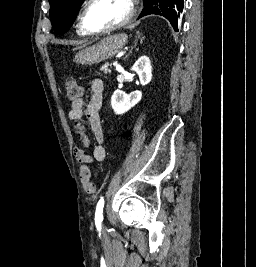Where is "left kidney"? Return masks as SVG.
I'll return each mask as SVG.
<instances>
[{
	"label": "left kidney",
	"mask_w": 256,
	"mask_h": 267,
	"mask_svg": "<svg viewBox=\"0 0 256 267\" xmlns=\"http://www.w3.org/2000/svg\"><path fill=\"white\" fill-rule=\"evenodd\" d=\"M132 72H136L139 76L141 86H147L152 80V66L148 56H141L136 60L131 68ZM142 98V92L135 90L131 94H125L122 90H115L111 98L112 110L115 114H125L131 110L135 104H138Z\"/></svg>",
	"instance_id": "5707ae66"
}]
</instances>
